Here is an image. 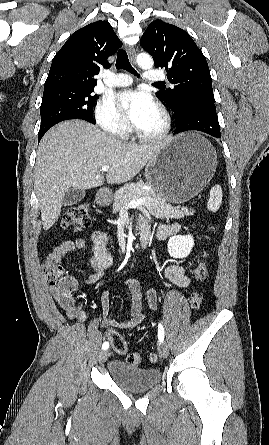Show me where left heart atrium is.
<instances>
[{
	"instance_id": "1",
	"label": "left heart atrium",
	"mask_w": 269,
	"mask_h": 445,
	"mask_svg": "<svg viewBox=\"0 0 269 445\" xmlns=\"http://www.w3.org/2000/svg\"><path fill=\"white\" fill-rule=\"evenodd\" d=\"M119 98L127 104V115L134 125L141 123L157 109L153 98L143 91H125L120 94Z\"/></svg>"
}]
</instances>
